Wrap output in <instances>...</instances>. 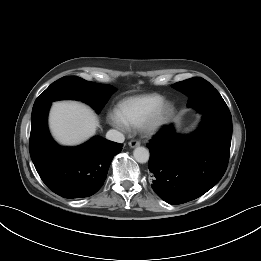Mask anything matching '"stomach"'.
I'll use <instances>...</instances> for the list:
<instances>
[{
	"label": "stomach",
	"instance_id": "obj_1",
	"mask_svg": "<svg viewBox=\"0 0 261 261\" xmlns=\"http://www.w3.org/2000/svg\"><path fill=\"white\" fill-rule=\"evenodd\" d=\"M176 123H177V125L179 126V119H175L174 120Z\"/></svg>",
	"mask_w": 261,
	"mask_h": 261
}]
</instances>
